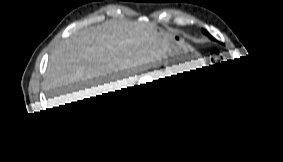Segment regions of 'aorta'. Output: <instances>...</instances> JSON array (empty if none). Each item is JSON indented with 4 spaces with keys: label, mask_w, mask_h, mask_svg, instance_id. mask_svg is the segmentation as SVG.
I'll return each mask as SVG.
<instances>
[{
    "label": "aorta",
    "mask_w": 283,
    "mask_h": 162,
    "mask_svg": "<svg viewBox=\"0 0 283 162\" xmlns=\"http://www.w3.org/2000/svg\"><path fill=\"white\" fill-rule=\"evenodd\" d=\"M138 85L141 87L142 91H151L155 89L154 83H153V79L150 77H142L139 82Z\"/></svg>",
    "instance_id": "762f6f07"
}]
</instances>
